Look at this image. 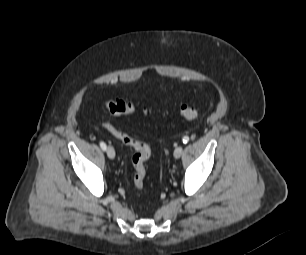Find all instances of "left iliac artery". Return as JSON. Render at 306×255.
<instances>
[{"label": "left iliac artery", "instance_id": "left-iliac-artery-1", "mask_svg": "<svg viewBox=\"0 0 306 255\" xmlns=\"http://www.w3.org/2000/svg\"><path fill=\"white\" fill-rule=\"evenodd\" d=\"M182 141H183L184 144L188 143L189 137L188 136H184Z\"/></svg>", "mask_w": 306, "mask_h": 255}]
</instances>
